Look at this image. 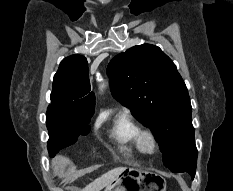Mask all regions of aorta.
I'll return each mask as SVG.
<instances>
[{
    "instance_id": "obj_1",
    "label": "aorta",
    "mask_w": 233,
    "mask_h": 191,
    "mask_svg": "<svg viewBox=\"0 0 233 191\" xmlns=\"http://www.w3.org/2000/svg\"><path fill=\"white\" fill-rule=\"evenodd\" d=\"M105 88V84L100 85V90L102 91Z\"/></svg>"
}]
</instances>
